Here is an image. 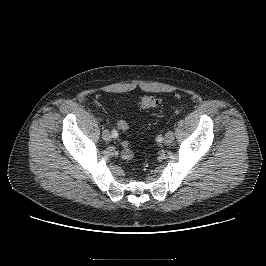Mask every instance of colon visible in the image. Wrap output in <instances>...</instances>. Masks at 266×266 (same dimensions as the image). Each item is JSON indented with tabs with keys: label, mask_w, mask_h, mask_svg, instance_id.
<instances>
[{
	"label": "colon",
	"mask_w": 266,
	"mask_h": 266,
	"mask_svg": "<svg viewBox=\"0 0 266 266\" xmlns=\"http://www.w3.org/2000/svg\"><path fill=\"white\" fill-rule=\"evenodd\" d=\"M158 103L159 101L157 97L153 95H144L138 100L137 106L141 110H148L156 107ZM117 125L120 131L124 133L129 131V125L126 121L120 120ZM121 146H122V151H121L122 158L126 161L132 160L134 158V152L131 149L129 142L124 140L122 141Z\"/></svg>",
	"instance_id": "obj_1"
}]
</instances>
